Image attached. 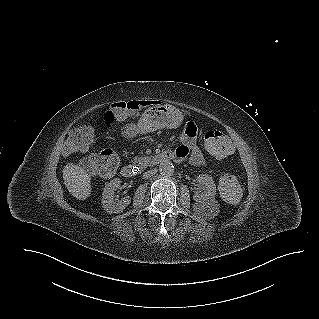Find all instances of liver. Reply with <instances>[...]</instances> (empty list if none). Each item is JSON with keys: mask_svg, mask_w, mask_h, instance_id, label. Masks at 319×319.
Listing matches in <instances>:
<instances>
[{"mask_svg": "<svg viewBox=\"0 0 319 319\" xmlns=\"http://www.w3.org/2000/svg\"><path fill=\"white\" fill-rule=\"evenodd\" d=\"M63 180L70 194L85 200L91 194V176L78 164L68 163L63 169Z\"/></svg>", "mask_w": 319, "mask_h": 319, "instance_id": "6515ba94", "label": "liver"}]
</instances>
